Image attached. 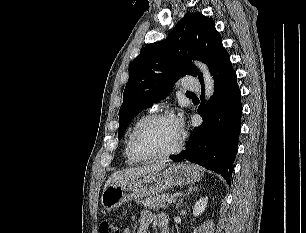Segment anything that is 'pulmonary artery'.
<instances>
[{
    "label": "pulmonary artery",
    "mask_w": 306,
    "mask_h": 233,
    "mask_svg": "<svg viewBox=\"0 0 306 233\" xmlns=\"http://www.w3.org/2000/svg\"><path fill=\"white\" fill-rule=\"evenodd\" d=\"M183 89L194 92L200 90V84L199 82L194 78H187L182 83Z\"/></svg>",
    "instance_id": "pulmonary-artery-1"
}]
</instances>
